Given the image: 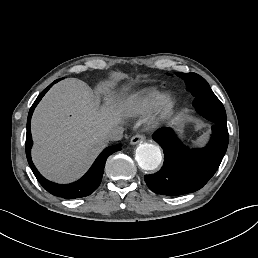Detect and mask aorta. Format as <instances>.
<instances>
[{"label":"aorta","instance_id":"762f6f07","mask_svg":"<svg viewBox=\"0 0 258 258\" xmlns=\"http://www.w3.org/2000/svg\"><path fill=\"white\" fill-rule=\"evenodd\" d=\"M135 158L143 170H154L162 161L160 148L155 144L144 143L136 148Z\"/></svg>","mask_w":258,"mask_h":258}]
</instances>
